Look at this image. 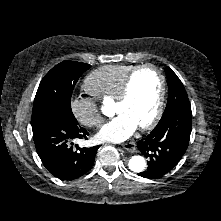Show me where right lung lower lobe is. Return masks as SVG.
I'll use <instances>...</instances> for the list:
<instances>
[{
  "label": "right lung lower lobe",
  "mask_w": 221,
  "mask_h": 221,
  "mask_svg": "<svg viewBox=\"0 0 221 221\" xmlns=\"http://www.w3.org/2000/svg\"><path fill=\"white\" fill-rule=\"evenodd\" d=\"M36 151L47 170L62 180H73L88 172L99 146L77 148L72 140L87 139L89 133L77 121L54 117L32 126Z\"/></svg>",
  "instance_id": "right-lung-lower-lobe-1"
}]
</instances>
